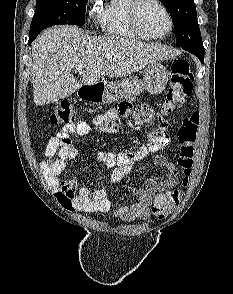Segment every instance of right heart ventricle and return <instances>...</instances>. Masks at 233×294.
I'll return each instance as SVG.
<instances>
[{
  "mask_svg": "<svg viewBox=\"0 0 233 294\" xmlns=\"http://www.w3.org/2000/svg\"><path fill=\"white\" fill-rule=\"evenodd\" d=\"M133 0H108L97 15L98 23L105 34L110 36L143 40L130 20V7Z\"/></svg>",
  "mask_w": 233,
  "mask_h": 294,
  "instance_id": "1",
  "label": "right heart ventricle"
}]
</instances>
